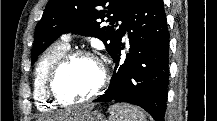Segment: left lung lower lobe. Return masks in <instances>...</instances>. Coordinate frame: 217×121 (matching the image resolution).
Wrapping results in <instances>:
<instances>
[{
    "label": "left lung lower lobe",
    "mask_w": 217,
    "mask_h": 121,
    "mask_svg": "<svg viewBox=\"0 0 217 121\" xmlns=\"http://www.w3.org/2000/svg\"><path fill=\"white\" fill-rule=\"evenodd\" d=\"M128 32V53L124 35ZM124 35L112 55L115 70L109 88L94 102H127L164 121L169 84V32L163 0H134Z\"/></svg>",
    "instance_id": "1"
}]
</instances>
